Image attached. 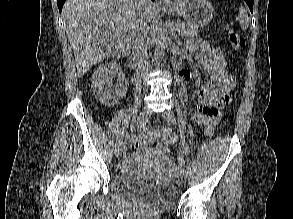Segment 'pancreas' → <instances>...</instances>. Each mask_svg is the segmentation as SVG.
<instances>
[{
	"instance_id": "obj_1",
	"label": "pancreas",
	"mask_w": 293,
	"mask_h": 219,
	"mask_svg": "<svg viewBox=\"0 0 293 219\" xmlns=\"http://www.w3.org/2000/svg\"><path fill=\"white\" fill-rule=\"evenodd\" d=\"M176 29L180 35L186 37H195L199 34L198 27L186 22L178 21L176 24Z\"/></svg>"
}]
</instances>
